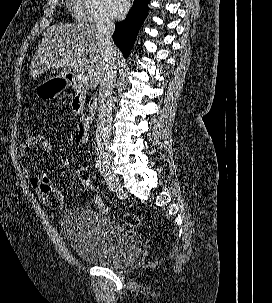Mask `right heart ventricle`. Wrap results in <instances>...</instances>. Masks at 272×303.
<instances>
[{"label": "right heart ventricle", "mask_w": 272, "mask_h": 303, "mask_svg": "<svg viewBox=\"0 0 272 303\" xmlns=\"http://www.w3.org/2000/svg\"><path fill=\"white\" fill-rule=\"evenodd\" d=\"M70 7H71L76 19H78V20L85 19L83 9H82L81 5L79 4L78 0H71Z\"/></svg>", "instance_id": "right-heart-ventricle-1"}]
</instances>
